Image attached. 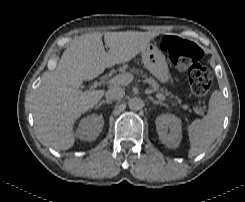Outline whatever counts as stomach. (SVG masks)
Returning <instances> with one entry per match:
<instances>
[{
    "label": "stomach",
    "instance_id": "stomach-1",
    "mask_svg": "<svg viewBox=\"0 0 245 202\" xmlns=\"http://www.w3.org/2000/svg\"><path fill=\"white\" fill-rule=\"evenodd\" d=\"M142 62L145 68L156 77L161 83H168L170 80L169 68L164 54L152 43H149L141 51Z\"/></svg>",
    "mask_w": 245,
    "mask_h": 202
}]
</instances>
